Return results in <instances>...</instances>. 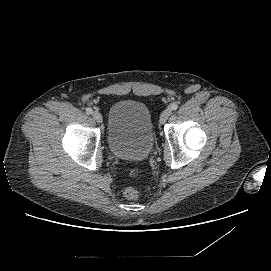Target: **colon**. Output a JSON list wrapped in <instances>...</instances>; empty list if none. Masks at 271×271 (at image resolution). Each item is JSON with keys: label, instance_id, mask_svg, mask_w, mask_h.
Segmentation results:
<instances>
[{"label": "colon", "instance_id": "colon-1", "mask_svg": "<svg viewBox=\"0 0 271 271\" xmlns=\"http://www.w3.org/2000/svg\"><path fill=\"white\" fill-rule=\"evenodd\" d=\"M140 195V191L137 187L129 186L124 190V196L129 200L137 199Z\"/></svg>", "mask_w": 271, "mask_h": 271}]
</instances>
